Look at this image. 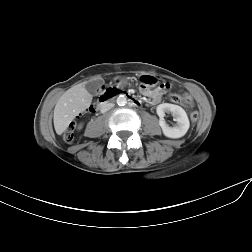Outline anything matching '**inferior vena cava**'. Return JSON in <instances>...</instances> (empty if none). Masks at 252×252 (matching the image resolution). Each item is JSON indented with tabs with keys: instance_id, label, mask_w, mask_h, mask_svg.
<instances>
[{
	"instance_id": "1",
	"label": "inferior vena cava",
	"mask_w": 252,
	"mask_h": 252,
	"mask_svg": "<svg viewBox=\"0 0 252 252\" xmlns=\"http://www.w3.org/2000/svg\"><path fill=\"white\" fill-rule=\"evenodd\" d=\"M112 107H114V104L113 103H106L102 106V112H106L108 110H110Z\"/></svg>"
}]
</instances>
